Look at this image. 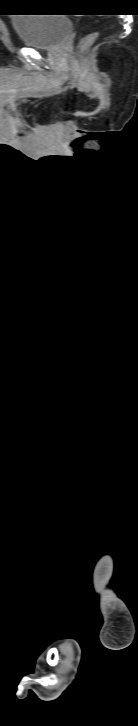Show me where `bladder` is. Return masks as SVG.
<instances>
[{
	"label": "bladder",
	"instance_id": "bladder-1",
	"mask_svg": "<svg viewBox=\"0 0 138 726\" xmlns=\"http://www.w3.org/2000/svg\"><path fill=\"white\" fill-rule=\"evenodd\" d=\"M44 15L51 17L42 18ZM12 26L23 45L37 49L58 48L72 30V22L64 14H20Z\"/></svg>",
	"mask_w": 138,
	"mask_h": 726
}]
</instances>
